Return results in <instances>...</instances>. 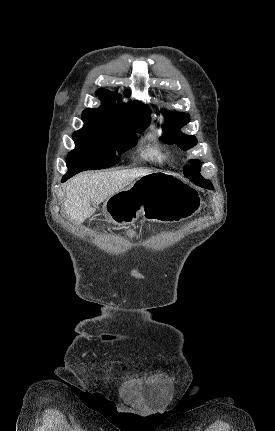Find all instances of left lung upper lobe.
<instances>
[{
	"mask_svg": "<svg viewBox=\"0 0 275 431\" xmlns=\"http://www.w3.org/2000/svg\"><path fill=\"white\" fill-rule=\"evenodd\" d=\"M170 125H163L164 134L161 139L169 144L177 143L182 149H189L197 144L194 136L183 134L179 128L188 123L189 115L183 112L162 111ZM191 165L184 168L186 176H201V162L196 159L190 160ZM202 177V176H201Z\"/></svg>",
	"mask_w": 275,
	"mask_h": 431,
	"instance_id": "1",
	"label": "left lung upper lobe"
}]
</instances>
